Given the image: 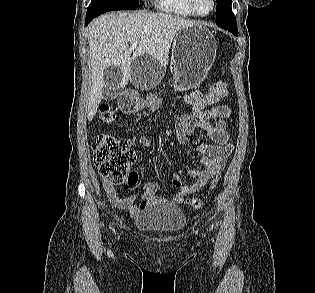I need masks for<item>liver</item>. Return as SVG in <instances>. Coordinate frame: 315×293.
<instances>
[{"mask_svg": "<svg viewBox=\"0 0 315 293\" xmlns=\"http://www.w3.org/2000/svg\"><path fill=\"white\" fill-rule=\"evenodd\" d=\"M194 24L199 23L177 15L143 11L112 12L95 19L88 37L92 69L88 120L93 119L103 99V71L106 67L115 65L123 71L122 87L131 80L132 61L138 56L148 54L166 67L175 35ZM134 42H137V47L131 57L129 44Z\"/></svg>", "mask_w": 315, "mask_h": 293, "instance_id": "6515ba94", "label": "liver"}]
</instances>
